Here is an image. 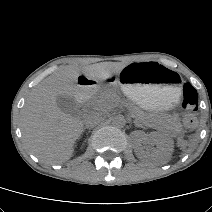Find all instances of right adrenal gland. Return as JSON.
Masks as SVG:
<instances>
[{
  "label": "right adrenal gland",
  "mask_w": 212,
  "mask_h": 212,
  "mask_svg": "<svg viewBox=\"0 0 212 212\" xmlns=\"http://www.w3.org/2000/svg\"><path fill=\"white\" fill-rule=\"evenodd\" d=\"M85 129H88V127H85V128L83 129V131H85Z\"/></svg>",
  "instance_id": "1"
}]
</instances>
